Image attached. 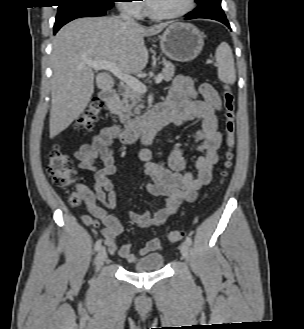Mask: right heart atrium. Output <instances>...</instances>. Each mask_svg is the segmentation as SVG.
<instances>
[{
	"label": "right heart atrium",
	"instance_id": "1",
	"mask_svg": "<svg viewBox=\"0 0 304 329\" xmlns=\"http://www.w3.org/2000/svg\"><path fill=\"white\" fill-rule=\"evenodd\" d=\"M120 9L134 17H141L144 10L142 0H121ZM136 2V3H135Z\"/></svg>",
	"mask_w": 304,
	"mask_h": 329
}]
</instances>
